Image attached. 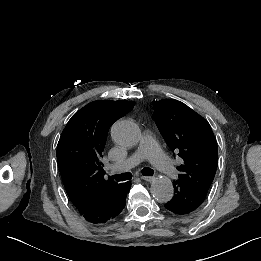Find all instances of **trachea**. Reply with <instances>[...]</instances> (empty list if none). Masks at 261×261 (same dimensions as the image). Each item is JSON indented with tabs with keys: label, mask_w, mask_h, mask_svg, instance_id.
<instances>
[{
	"label": "trachea",
	"mask_w": 261,
	"mask_h": 261,
	"mask_svg": "<svg viewBox=\"0 0 261 261\" xmlns=\"http://www.w3.org/2000/svg\"><path fill=\"white\" fill-rule=\"evenodd\" d=\"M141 173L145 176H153L154 170L149 168V167H144L141 170ZM112 178H114L118 182L130 180L132 178V173L131 172H125V173H122V174H116V175H113Z\"/></svg>",
	"instance_id": "1"
}]
</instances>
